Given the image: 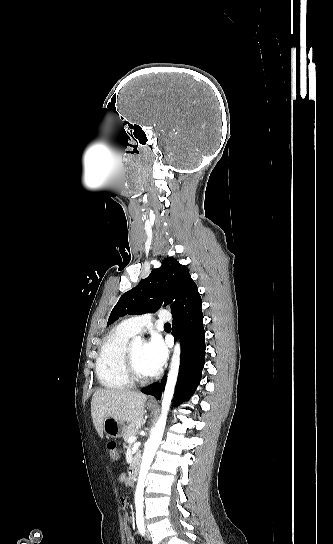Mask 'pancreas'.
Listing matches in <instances>:
<instances>
[{"instance_id":"cf45deb5","label":"pancreas","mask_w":333,"mask_h":544,"mask_svg":"<svg viewBox=\"0 0 333 544\" xmlns=\"http://www.w3.org/2000/svg\"><path fill=\"white\" fill-rule=\"evenodd\" d=\"M142 424V419H138L137 421L129 424L126 429L124 430V433H123V439L124 441H128V439L131 437V436H136L137 433H138V429L140 428Z\"/></svg>"}]
</instances>
